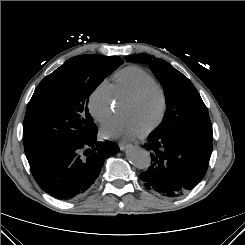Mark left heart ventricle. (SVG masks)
Returning a JSON list of instances; mask_svg holds the SVG:
<instances>
[{
	"label": "left heart ventricle",
	"instance_id": "b2bd125f",
	"mask_svg": "<svg viewBox=\"0 0 245 245\" xmlns=\"http://www.w3.org/2000/svg\"><path fill=\"white\" fill-rule=\"evenodd\" d=\"M161 110V96L155 88L147 89L137 100L123 103L122 115L140 132L150 127Z\"/></svg>",
	"mask_w": 245,
	"mask_h": 245
}]
</instances>
